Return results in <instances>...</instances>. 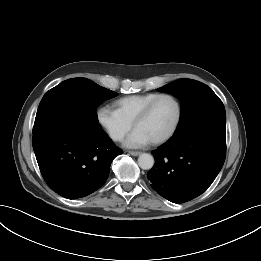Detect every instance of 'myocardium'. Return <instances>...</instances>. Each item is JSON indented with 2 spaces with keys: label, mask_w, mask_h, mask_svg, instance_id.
<instances>
[{
  "label": "myocardium",
  "mask_w": 261,
  "mask_h": 261,
  "mask_svg": "<svg viewBox=\"0 0 261 261\" xmlns=\"http://www.w3.org/2000/svg\"><path fill=\"white\" fill-rule=\"evenodd\" d=\"M163 98H169L175 103L176 109H177L176 118H175V121H174L171 129L164 136H162L156 140H153L151 142L153 145H161L163 143H166L176 133V131L179 127L180 121H181V116H182V107H181L179 100L171 94H167V93L158 94L145 105V107L138 113V115L136 116V118L133 121V127L135 128L138 123L143 121L149 115V113L151 112L154 105L160 99H163Z\"/></svg>",
  "instance_id": "myocardium-1"
}]
</instances>
